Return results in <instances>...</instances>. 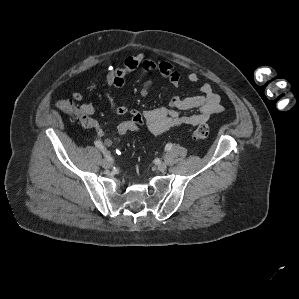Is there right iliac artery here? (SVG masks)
<instances>
[{"label":"right iliac artery","instance_id":"obj_1","mask_svg":"<svg viewBox=\"0 0 299 299\" xmlns=\"http://www.w3.org/2000/svg\"><path fill=\"white\" fill-rule=\"evenodd\" d=\"M94 144H95V146H96L97 148H99V149L103 152L104 156H106V158H107L109 161H112V158L110 157V155L108 154V152H107L106 149L104 148V146H103V144H102L101 141H95Z\"/></svg>","mask_w":299,"mask_h":299}]
</instances>
